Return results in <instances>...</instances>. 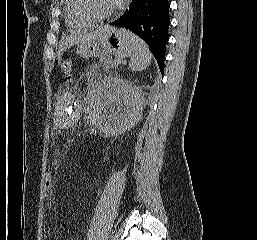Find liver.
<instances>
[{
  "label": "liver",
  "instance_id": "liver-1",
  "mask_svg": "<svg viewBox=\"0 0 257 240\" xmlns=\"http://www.w3.org/2000/svg\"><path fill=\"white\" fill-rule=\"evenodd\" d=\"M106 26H100L94 31L84 32L80 34L67 36L59 45L58 59L61 60V56L66 49L79 44L90 43L98 39L105 31Z\"/></svg>",
  "mask_w": 257,
  "mask_h": 240
}]
</instances>
